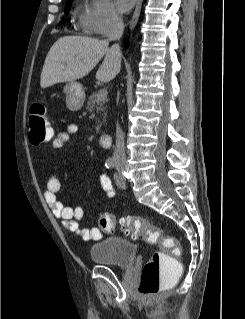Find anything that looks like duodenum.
<instances>
[{"mask_svg": "<svg viewBox=\"0 0 245 319\" xmlns=\"http://www.w3.org/2000/svg\"><path fill=\"white\" fill-rule=\"evenodd\" d=\"M112 137L109 133H104L100 136V144L103 148L108 149L111 147Z\"/></svg>", "mask_w": 245, "mask_h": 319, "instance_id": "obj_1", "label": "duodenum"}]
</instances>
